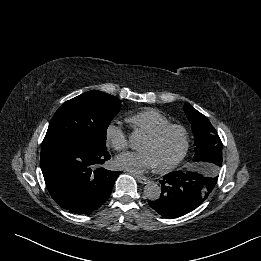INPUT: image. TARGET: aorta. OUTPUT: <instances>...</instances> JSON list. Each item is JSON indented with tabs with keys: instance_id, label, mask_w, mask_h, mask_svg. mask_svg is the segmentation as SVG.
Instances as JSON below:
<instances>
[{
	"instance_id": "obj_1",
	"label": "aorta",
	"mask_w": 261,
	"mask_h": 261,
	"mask_svg": "<svg viewBox=\"0 0 261 261\" xmlns=\"http://www.w3.org/2000/svg\"><path fill=\"white\" fill-rule=\"evenodd\" d=\"M144 139L145 136L140 130L133 131L129 137L130 148L138 149L142 145ZM144 194L147 199L155 201L160 198L161 187L157 183L150 182L144 187Z\"/></svg>"
}]
</instances>
